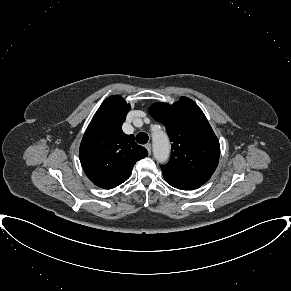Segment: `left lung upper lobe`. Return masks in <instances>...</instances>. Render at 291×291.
Segmentation results:
<instances>
[{"label":"left lung upper lobe","mask_w":291,"mask_h":291,"mask_svg":"<svg viewBox=\"0 0 291 291\" xmlns=\"http://www.w3.org/2000/svg\"><path fill=\"white\" fill-rule=\"evenodd\" d=\"M150 115L163 123L172 142L171 157L162 173L198 185L214 173L220 156L219 141L204 113L187 97L172 105L155 103Z\"/></svg>","instance_id":"left-lung-upper-lobe-1"}]
</instances>
